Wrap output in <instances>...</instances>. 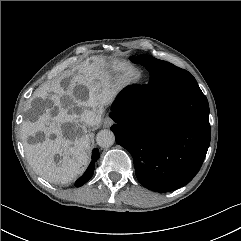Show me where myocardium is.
<instances>
[{"label":"myocardium","mask_w":241,"mask_h":241,"mask_svg":"<svg viewBox=\"0 0 241 241\" xmlns=\"http://www.w3.org/2000/svg\"><path fill=\"white\" fill-rule=\"evenodd\" d=\"M141 78V71L133 66L128 67L121 75V82L124 85H132Z\"/></svg>","instance_id":"1"}]
</instances>
